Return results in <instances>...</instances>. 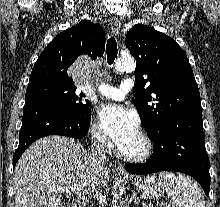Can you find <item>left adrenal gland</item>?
I'll return each instance as SVG.
<instances>
[{"mask_svg":"<svg viewBox=\"0 0 220 207\" xmlns=\"http://www.w3.org/2000/svg\"><path fill=\"white\" fill-rule=\"evenodd\" d=\"M131 202H134L135 205L137 204V195H136V192H133L132 196H131L130 199H129L128 204H130Z\"/></svg>","mask_w":220,"mask_h":207,"instance_id":"1","label":"left adrenal gland"}]
</instances>
